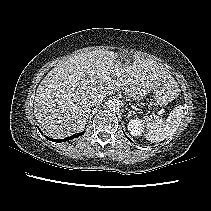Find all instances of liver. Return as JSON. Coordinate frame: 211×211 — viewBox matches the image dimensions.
<instances>
[{"label": "liver", "instance_id": "1", "mask_svg": "<svg viewBox=\"0 0 211 211\" xmlns=\"http://www.w3.org/2000/svg\"><path fill=\"white\" fill-rule=\"evenodd\" d=\"M131 60L132 63H124L113 51L95 50L60 62L37 88L34 115L38 123L50 136L66 137L85 127L92 95L107 97L123 90L128 94L136 88L151 91L161 84L174 82L157 62L138 56ZM113 75L117 78L104 79Z\"/></svg>", "mask_w": 211, "mask_h": 211}]
</instances>
